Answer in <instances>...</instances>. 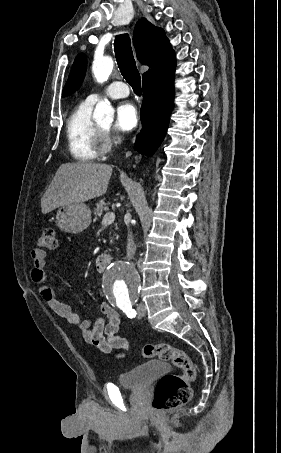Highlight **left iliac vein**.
<instances>
[{
	"label": "left iliac vein",
	"instance_id": "obj_1",
	"mask_svg": "<svg viewBox=\"0 0 281 453\" xmlns=\"http://www.w3.org/2000/svg\"><path fill=\"white\" fill-rule=\"evenodd\" d=\"M138 307L139 308L137 310V314L140 315V316H145L144 311L147 310V307H145L144 304H139Z\"/></svg>",
	"mask_w": 281,
	"mask_h": 453
}]
</instances>
